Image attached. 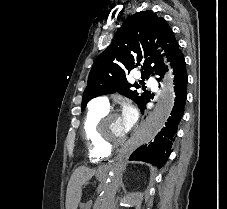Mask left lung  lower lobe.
Here are the masks:
<instances>
[{
	"label": "left lung lower lobe",
	"mask_w": 227,
	"mask_h": 209,
	"mask_svg": "<svg viewBox=\"0 0 227 209\" xmlns=\"http://www.w3.org/2000/svg\"><path fill=\"white\" fill-rule=\"evenodd\" d=\"M171 66L173 67L175 103L165 127L148 144L141 146L130 156V160L146 161L162 167L170 155L172 142L177 131L178 124L183 116L184 105L187 97V72L184 56L181 50L175 56ZM163 74L158 80L162 79ZM144 109L141 111L143 113Z\"/></svg>",
	"instance_id": "obj_1"
}]
</instances>
